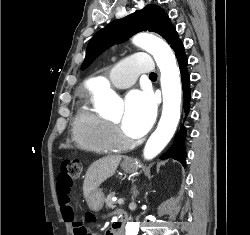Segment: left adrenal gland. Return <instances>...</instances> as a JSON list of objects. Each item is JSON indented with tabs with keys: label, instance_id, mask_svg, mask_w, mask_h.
I'll use <instances>...</instances> for the list:
<instances>
[{
	"label": "left adrenal gland",
	"instance_id": "obj_1",
	"mask_svg": "<svg viewBox=\"0 0 250 235\" xmlns=\"http://www.w3.org/2000/svg\"><path fill=\"white\" fill-rule=\"evenodd\" d=\"M138 194H139V192L137 190H135V188H133V196H132V198L134 199Z\"/></svg>",
	"mask_w": 250,
	"mask_h": 235
}]
</instances>
